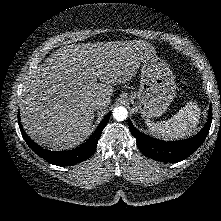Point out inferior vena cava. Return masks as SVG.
Segmentation results:
<instances>
[{
  "label": "inferior vena cava",
  "instance_id": "1",
  "mask_svg": "<svg viewBox=\"0 0 221 221\" xmlns=\"http://www.w3.org/2000/svg\"><path fill=\"white\" fill-rule=\"evenodd\" d=\"M106 105V102L102 99H98L93 103V107L95 110L102 109Z\"/></svg>",
  "mask_w": 221,
  "mask_h": 221
}]
</instances>
